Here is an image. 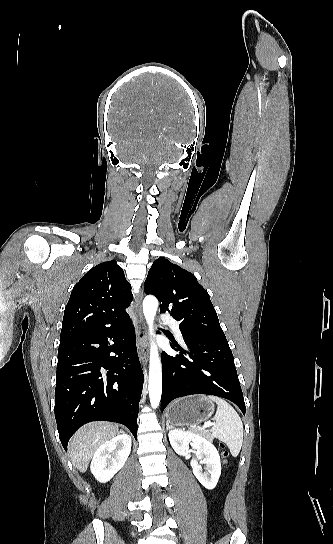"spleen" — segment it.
<instances>
[{"instance_id": "obj_1", "label": "spleen", "mask_w": 333, "mask_h": 544, "mask_svg": "<svg viewBox=\"0 0 333 544\" xmlns=\"http://www.w3.org/2000/svg\"><path fill=\"white\" fill-rule=\"evenodd\" d=\"M207 398L217 404L213 418L212 435L228 446L231 454L236 457L243 443V424L236 410L225 400L216 396Z\"/></svg>"}]
</instances>
